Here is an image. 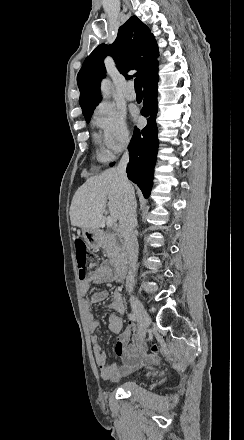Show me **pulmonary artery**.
I'll use <instances>...</instances> for the list:
<instances>
[{
	"mask_svg": "<svg viewBox=\"0 0 244 440\" xmlns=\"http://www.w3.org/2000/svg\"><path fill=\"white\" fill-rule=\"evenodd\" d=\"M129 88L130 89H128V91H127L128 93L125 94V97L129 101H134L136 99V94L133 93L134 91H133V89H131L132 85H129Z\"/></svg>",
	"mask_w": 244,
	"mask_h": 440,
	"instance_id": "obj_1",
	"label": "pulmonary artery"
}]
</instances>
